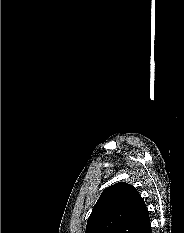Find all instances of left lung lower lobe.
Here are the masks:
<instances>
[{"mask_svg":"<svg viewBox=\"0 0 184 233\" xmlns=\"http://www.w3.org/2000/svg\"><path fill=\"white\" fill-rule=\"evenodd\" d=\"M144 233H152L150 223H149V225H148V227H147V229L145 230V232H144Z\"/></svg>","mask_w":184,"mask_h":233,"instance_id":"left-lung-lower-lobe-1","label":"left lung lower lobe"}]
</instances>
